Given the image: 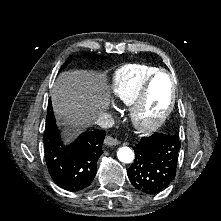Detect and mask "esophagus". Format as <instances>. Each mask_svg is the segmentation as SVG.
Returning <instances> with one entry per match:
<instances>
[{
	"mask_svg": "<svg viewBox=\"0 0 221 221\" xmlns=\"http://www.w3.org/2000/svg\"><path fill=\"white\" fill-rule=\"evenodd\" d=\"M104 143L106 145L113 146V145H118L119 141L116 138H113L111 136H106L105 139H104Z\"/></svg>",
	"mask_w": 221,
	"mask_h": 221,
	"instance_id": "34e87169",
	"label": "esophagus"
}]
</instances>
